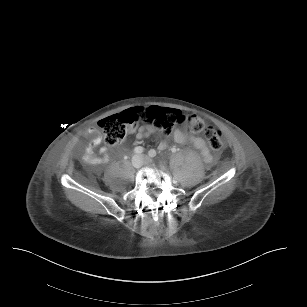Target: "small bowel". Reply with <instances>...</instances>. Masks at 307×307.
Segmentation results:
<instances>
[{"mask_svg": "<svg viewBox=\"0 0 307 307\" xmlns=\"http://www.w3.org/2000/svg\"><path fill=\"white\" fill-rule=\"evenodd\" d=\"M152 131L151 127H141L137 132V138L142 139L149 135ZM88 135L92 136L91 141L87 144L83 161L87 164H101L108 161V149L106 147H100L101 133L96 128H90L87 131ZM173 139L180 144L191 143L197 150L200 151L203 159L206 162H210L212 159L210 150L203 138L197 135L190 134L181 129H175L172 132ZM168 144L166 141H162L159 144L160 150H165ZM95 151H98L100 155H97Z\"/></svg>", "mask_w": 307, "mask_h": 307, "instance_id": "1", "label": "small bowel"}]
</instances>
